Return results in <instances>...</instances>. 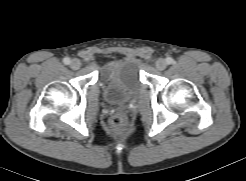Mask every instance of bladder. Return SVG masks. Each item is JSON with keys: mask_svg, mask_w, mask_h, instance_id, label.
Here are the masks:
<instances>
[{"mask_svg": "<svg viewBox=\"0 0 246 181\" xmlns=\"http://www.w3.org/2000/svg\"><path fill=\"white\" fill-rule=\"evenodd\" d=\"M106 99L110 102L124 100L141 85L138 65L130 60L108 63L100 73Z\"/></svg>", "mask_w": 246, "mask_h": 181, "instance_id": "bladder-1", "label": "bladder"}]
</instances>
